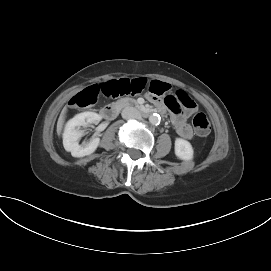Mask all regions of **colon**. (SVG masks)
<instances>
[{"instance_id": "1", "label": "colon", "mask_w": 271, "mask_h": 271, "mask_svg": "<svg viewBox=\"0 0 271 271\" xmlns=\"http://www.w3.org/2000/svg\"><path fill=\"white\" fill-rule=\"evenodd\" d=\"M149 83L144 78L137 79H118L110 80L102 84H94L83 89L77 93L70 100V105L74 108H86L93 106L102 93L106 96L118 97L126 95H135L139 94L149 86ZM169 90V85L167 84V92ZM158 98L164 96V102L169 107L171 111L176 114H180L182 107L186 109H192L194 103L187 97L183 92H177L175 96L172 95H154ZM193 126L196 133L201 136H207L210 132V123L207 116L198 112L193 117Z\"/></svg>"}]
</instances>
